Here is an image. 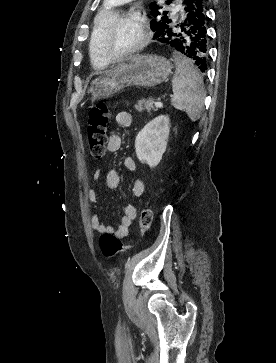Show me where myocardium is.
<instances>
[{
  "label": "myocardium",
  "mask_w": 276,
  "mask_h": 363,
  "mask_svg": "<svg viewBox=\"0 0 276 363\" xmlns=\"http://www.w3.org/2000/svg\"><path fill=\"white\" fill-rule=\"evenodd\" d=\"M122 21H132L136 23L140 28V38L132 48H130L129 50L125 51L120 55L113 56L109 54V52L104 46V37L108 31H110L115 25H117ZM149 39H150V29L148 22L143 15L131 11L121 12V13H116L101 31L99 37V49L107 62L109 63L119 62L140 52L147 45Z\"/></svg>",
  "instance_id": "1"
}]
</instances>
